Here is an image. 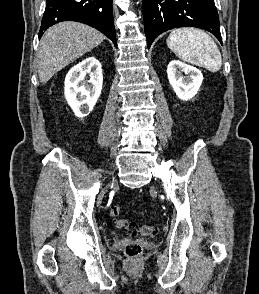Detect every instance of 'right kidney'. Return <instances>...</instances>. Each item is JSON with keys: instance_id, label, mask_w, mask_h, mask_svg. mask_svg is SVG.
<instances>
[{"instance_id": "ca27d5eb", "label": "right kidney", "mask_w": 259, "mask_h": 294, "mask_svg": "<svg viewBox=\"0 0 259 294\" xmlns=\"http://www.w3.org/2000/svg\"><path fill=\"white\" fill-rule=\"evenodd\" d=\"M103 75L101 63L88 57L72 67L65 78V97L77 117L93 110L101 95Z\"/></svg>"}]
</instances>
